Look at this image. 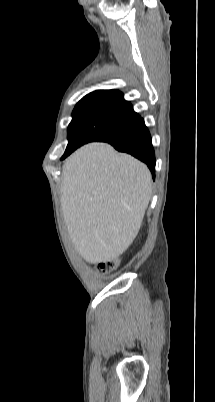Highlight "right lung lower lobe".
Listing matches in <instances>:
<instances>
[{
  "label": "right lung lower lobe",
  "mask_w": 215,
  "mask_h": 402,
  "mask_svg": "<svg viewBox=\"0 0 215 402\" xmlns=\"http://www.w3.org/2000/svg\"><path fill=\"white\" fill-rule=\"evenodd\" d=\"M105 142L111 144L116 150L129 153L146 163L152 173L153 179L155 178L156 160L152 146V139L149 130L145 126L144 120L141 117L115 139ZM73 151L67 153L65 156L63 155L62 159L67 157Z\"/></svg>",
  "instance_id": "98d812e1"
}]
</instances>
